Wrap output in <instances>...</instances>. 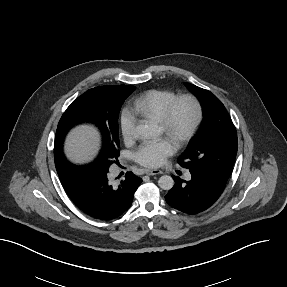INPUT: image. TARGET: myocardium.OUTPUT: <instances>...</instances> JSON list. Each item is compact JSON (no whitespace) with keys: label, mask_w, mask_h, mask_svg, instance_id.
Wrapping results in <instances>:
<instances>
[{"label":"myocardium","mask_w":287,"mask_h":287,"mask_svg":"<svg viewBox=\"0 0 287 287\" xmlns=\"http://www.w3.org/2000/svg\"><path fill=\"white\" fill-rule=\"evenodd\" d=\"M187 104L191 109V117L187 125L177 129L176 110L180 104ZM202 106L198 98L192 94H183L175 97L167 106L163 117L159 121L162 132L169 138L174 139L178 147L187 144L196 132L202 120Z\"/></svg>","instance_id":"obj_1"}]
</instances>
